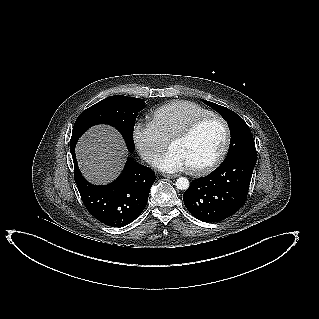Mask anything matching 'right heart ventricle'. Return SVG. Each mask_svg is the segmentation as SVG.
<instances>
[{"label": "right heart ventricle", "instance_id": "obj_1", "mask_svg": "<svg viewBox=\"0 0 319 319\" xmlns=\"http://www.w3.org/2000/svg\"><path fill=\"white\" fill-rule=\"evenodd\" d=\"M213 114L194 102L175 100L155 108L149 115L150 123L162 137L170 138L194 119Z\"/></svg>", "mask_w": 319, "mask_h": 319}]
</instances>
